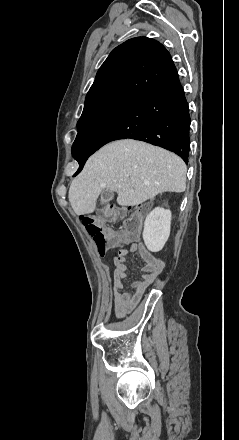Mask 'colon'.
Masks as SVG:
<instances>
[{"label":"colon","mask_w":239,"mask_h":440,"mask_svg":"<svg viewBox=\"0 0 239 440\" xmlns=\"http://www.w3.org/2000/svg\"><path fill=\"white\" fill-rule=\"evenodd\" d=\"M140 206L129 208H109L100 216H82L81 221L87 233L93 238L98 253L102 256L118 248L123 242L136 239L140 232V219L137 215ZM123 220L124 225L118 233L106 226L107 221Z\"/></svg>","instance_id":"5ec220e1"}]
</instances>
